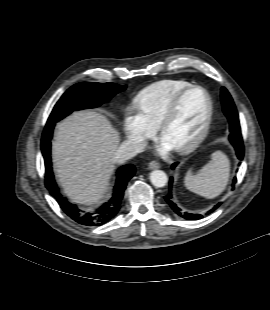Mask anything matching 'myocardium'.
Instances as JSON below:
<instances>
[{"label":"myocardium","instance_id":"myocardium-1","mask_svg":"<svg viewBox=\"0 0 270 310\" xmlns=\"http://www.w3.org/2000/svg\"><path fill=\"white\" fill-rule=\"evenodd\" d=\"M193 92H201L205 96L206 101H207V109H206L203 123L199 131L192 138L186 140L180 146L175 148L176 152L180 154L189 153L193 151L195 148H197L201 144V142L205 139V137L207 136L209 132L211 121H212V116H213V101H212L210 93L202 86H198V85L189 86L188 88L184 89L183 91L178 93L173 98V100L167 107L166 111L164 112L158 124V132L160 136L162 137L167 126L169 125V123L172 121V119L176 115L184 98Z\"/></svg>","mask_w":270,"mask_h":310}]
</instances>
